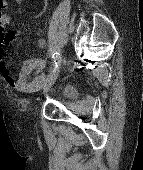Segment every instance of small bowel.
<instances>
[{
  "instance_id": "1",
  "label": "small bowel",
  "mask_w": 143,
  "mask_h": 170,
  "mask_svg": "<svg viewBox=\"0 0 143 170\" xmlns=\"http://www.w3.org/2000/svg\"><path fill=\"white\" fill-rule=\"evenodd\" d=\"M20 2L21 0H16ZM11 24V17L8 14H0V73L5 82L11 88L21 92H34L41 88L44 83L45 75L42 74L45 68V61L34 57L27 59L20 68L17 78H14L4 60L3 46L22 35L19 31H8ZM46 41L43 38L38 40V46L44 48Z\"/></svg>"
}]
</instances>
